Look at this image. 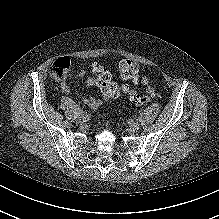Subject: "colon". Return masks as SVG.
I'll return each mask as SVG.
<instances>
[{
    "instance_id": "5ec220e1",
    "label": "colon",
    "mask_w": 219,
    "mask_h": 219,
    "mask_svg": "<svg viewBox=\"0 0 219 219\" xmlns=\"http://www.w3.org/2000/svg\"><path fill=\"white\" fill-rule=\"evenodd\" d=\"M71 70V62L67 57H61L55 60L50 68L51 76L57 80L62 81L69 75ZM120 74L124 79H136L139 75V67L137 64L130 60H123L119 64ZM93 72L96 76V84L99 86L104 99H114L121 94H127L129 96L132 106H142L158 95L152 91H146L145 94H138L133 91L129 84H118L112 80V76L109 72L104 71L102 68H95Z\"/></svg>"
}]
</instances>
